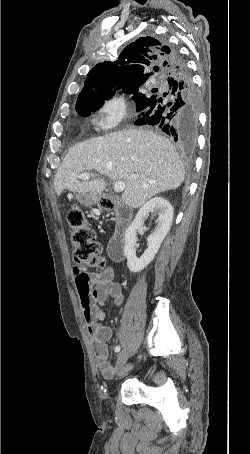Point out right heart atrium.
Returning <instances> with one entry per match:
<instances>
[{
  "mask_svg": "<svg viewBox=\"0 0 250 454\" xmlns=\"http://www.w3.org/2000/svg\"><path fill=\"white\" fill-rule=\"evenodd\" d=\"M127 116L126 104L118 99H112L99 107L95 122L104 131L117 129Z\"/></svg>",
  "mask_w": 250,
  "mask_h": 454,
  "instance_id": "1",
  "label": "right heart atrium"
}]
</instances>
